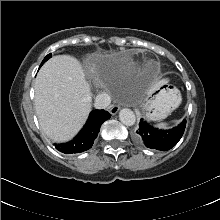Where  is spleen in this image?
<instances>
[{"label":"spleen","instance_id":"3e777b00","mask_svg":"<svg viewBox=\"0 0 220 220\" xmlns=\"http://www.w3.org/2000/svg\"><path fill=\"white\" fill-rule=\"evenodd\" d=\"M167 126H168V123H165V122H162V123H158V124H157V127H158V128H163V129H165V128H167Z\"/></svg>","mask_w":220,"mask_h":220}]
</instances>
